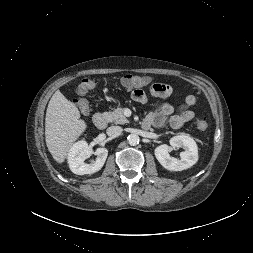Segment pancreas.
<instances>
[{
  "instance_id": "cf45deb5",
  "label": "pancreas",
  "mask_w": 253,
  "mask_h": 253,
  "mask_svg": "<svg viewBox=\"0 0 253 253\" xmlns=\"http://www.w3.org/2000/svg\"><path fill=\"white\" fill-rule=\"evenodd\" d=\"M103 117L107 122L115 124H126L129 123L128 119L123 114V109L117 107L112 112H104Z\"/></svg>"
}]
</instances>
